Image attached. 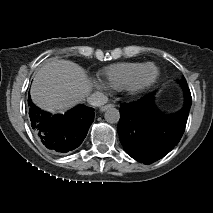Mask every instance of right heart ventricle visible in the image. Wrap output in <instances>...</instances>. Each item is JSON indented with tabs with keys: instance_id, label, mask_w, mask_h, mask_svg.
<instances>
[{
	"instance_id": "e07e8e85",
	"label": "right heart ventricle",
	"mask_w": 213,
	"mask_h": 213,
	"mask_svg": "<svg viewBox=\"0 0 213 213\" xmlns=\"http://www.w3.org/2000/svg\"><path fill=\"white\" fill-rule=\"evenodd\" d=\"M145 63L123 62L111 65L102 72L107 84L115 89L122 90L124 85L141 69Z\"/></svg>"
}]
</instances>
